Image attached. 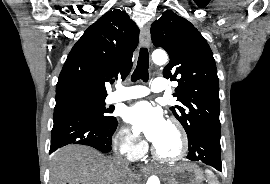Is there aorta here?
Instances as JSON below:
<instances>
[{
    "label": "aorta",
    "mask_w": 270,
    "mask_h": 184,
    "mask_svg": "<svg viewBox=\"0 0 270 184\" xmlns=\"http://www.w3.org/2000/svg\"><path fill=\"white\" fill-rule=\"evenodd\" d=\"M167 54L164 51H155L152 54V60L158 65H163L167 61ZM146 184H160V180L157 176L153 175L149 177Z\"/></svg>",
    "instance_id": "aorta-1"
}]
</instances>
